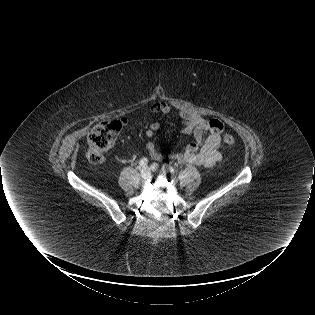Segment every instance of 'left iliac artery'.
<instances>
[{"mask_svg":"<svg viewBox=\"0 0 315 315\" xmlns=\"http://www.w3.org/2000/svg\"><path fill=\"white\" fill-rule=\"evenodd\" d=\"M153 166L156 167V168L158 167L157 164H154ZM162 170H164V171L168 170V171H169L170 173H172V174L178 172V169H175L174 167L168 166V165H164V166L162 167Z\"/></svg>","mask_w":315,"mask_h":315,"instance_id":"left-iliac-artery-1","label":"left iliac artery"}]
</instances>
